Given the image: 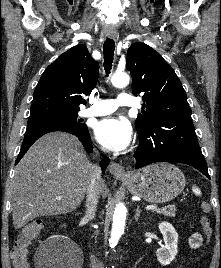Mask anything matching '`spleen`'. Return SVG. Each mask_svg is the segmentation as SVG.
Returning <instances> with one entry per match:
<instances>
[{"label": "spleen", "instance_id": "3e777b00", "mask_svg": "<svg viewBox=\"0 0 221 268\" xmlns=\"http://www.w3.org/2000/svg\"><path fill=\"white\" fill-rule=\"evenodd\" d=\"M192 190H193L195 195H198V196L201 195V191L197 186H193Z\"/></svg>", "mask_w": 221, "mask_h": 268}]
</instances>
